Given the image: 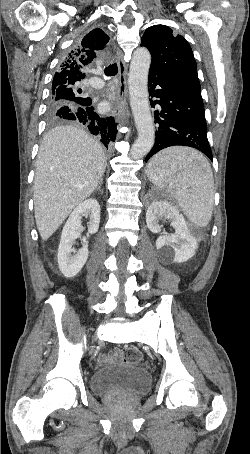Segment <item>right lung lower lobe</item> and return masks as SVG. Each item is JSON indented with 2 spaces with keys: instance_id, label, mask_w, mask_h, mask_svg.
<instances>
[{
  "instance_id": "right-lung-lower-lobe-1",
  "label": "right lung lower lobe",
  "mask_w": 250,
  "mask_h": 454,
  "mask_svg": "<svg viewBox=\"0 0 250 454\" xmlns=\"http://www.w3.org/2000/svg\"><path fill=\"white\" fill-rule=\"evenodd\" d=\"M56 113L62 119L77 121L85 125L93 135L100 138V141L106 147L110 142L115 141L116 124L114 118H104L96 114L91 98L74 106L63 105L57 109Z\"/></svg>"
}]
</instances>
